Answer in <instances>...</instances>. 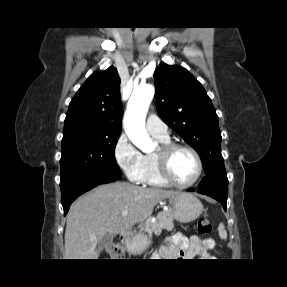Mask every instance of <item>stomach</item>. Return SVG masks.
Wrapping results in <instances>:
<instances>
[{
  "label": "stomach",
  "mask_w": 287,
  "mask_h": 287,
  "mask_svg": "<svg viewBox=\"0 0 287 287\" xmlns=\"http://www.w3.org/2000/svg\"><path fill=\"white\" fill-rule=\"evenodd\" d=\"M170 202L172 216L180 223H190L196 220L203 211L201 201L190 193H178L170 198ZM149 244L150 241L142 234L132 236L125 242L127 249L133 254L143 252Z\"/></svg>",
  "instance_id": "stomach-1"
}]
</instances>
